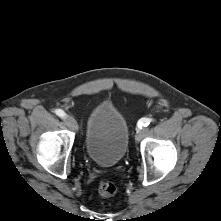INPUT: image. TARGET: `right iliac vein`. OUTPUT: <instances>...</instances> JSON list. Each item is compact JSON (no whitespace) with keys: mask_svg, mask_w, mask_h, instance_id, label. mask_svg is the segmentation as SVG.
<instances>
[{"mask_svg":"<svg viewBox=\"0 0 221 221\" xmlns=\"http://www.w3.org/2000/svg\"><path fill=\"white\" fill-rule=\"evenodd\" d=\"M64 122L66 123V125L73 131H77L78 130V124L76 122V120L71 117V116H66L64 118Z\"/></svg>","mask_w":221,"mask_h":221,"instance_id":"obj_1","label":"right iliac vein"}]
</instances>
